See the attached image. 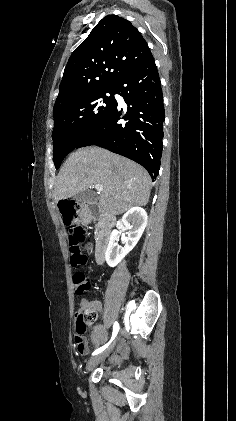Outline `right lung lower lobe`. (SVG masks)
<instances>
[{"instance_id": "obj_1", "label": "right lung lower lobe", "mask_w": 236, "mask_h": 421, "mask_svg": "<svg viewBox=\"0 0 236 421\" xmlns=\"http://www.w3.org/2000/svg\"><path fill=\"white\" fill-rule=\"evenodd\" d=\"M127 111L112 109L105 121L77 148L98 145L142 165L154 181L163 148L164 104L153 56L131 68L115 83Z\"/></svg>"}]
</instances>
